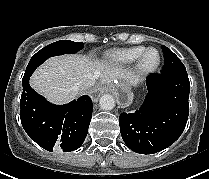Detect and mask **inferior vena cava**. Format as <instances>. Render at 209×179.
Masks as SVG:
<instances>
[{
  "label": "inferior vena cava",
  "instance_id": "inferior-vena-cava-1",
  "mask_svg": "<svg viewBox=\"0 0 209 179\" xmlns=\"http://www.w3.org/2000/svg\"><path fill=\"white\" fill-rule=\"evenodd\" d=\"M95 83H96L95 78L91 76L89 78H84L81 81H79L77 83V87L81 90H87L91 88L92 86H94Z\"/></svg>",
  "mask_w": 209,
  "mask_h": 179
}]
</instances>
